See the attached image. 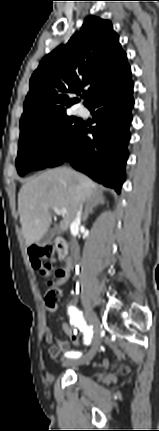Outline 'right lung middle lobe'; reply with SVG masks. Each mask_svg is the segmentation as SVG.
<instances>
[{
	"mask_svg": "<svg viewBox=\"0 0 159 431\" xmlns=\"http://www.w3.org/2000/svg\"><path fill=\"white\" fill-rule=\"evenodd\" d=\"M80 125L79 119L63 112L22 130L16 159L19 175L46 168Z\"/></svg>",
	"mask_w": 159,
	"mask_h": 431,
	"instance_id": "1",
	"label": "right lung middle lobe"
}]
</instances>
